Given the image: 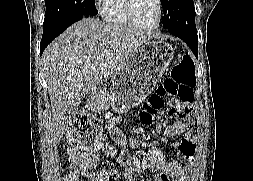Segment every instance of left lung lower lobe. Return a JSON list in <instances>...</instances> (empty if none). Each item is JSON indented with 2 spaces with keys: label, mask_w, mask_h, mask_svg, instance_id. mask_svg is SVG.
<instances>
[{
  "label": "left lung lower lobe",
  "mask_w": 253,
  "mask_h": 181,
  "mask_svg": "<svg viewBox=\"0 0 253 181\" xmlns=\"http://www.w3.org/2000/svg\"><path fill=\"white\" fill-rule=\"evenodd\" d=\"M168 32H170L171 34L179 37L184 42H186L187 45L192 50V52L194 53V55L197 56V50H198V36H197V34H190V33L180 32V31H175V30H168Z\"/></svg>",
  "instance_id": "1"
}]
</instances>
